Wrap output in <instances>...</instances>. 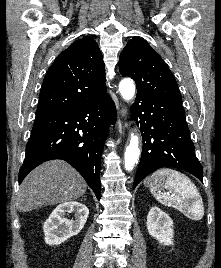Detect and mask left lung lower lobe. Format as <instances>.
I'll use <instances>...</instances> for the list:
<instances>
[{"mask_svg": "<svg viewBox=\"0 0 221 268\" xmlns=\"http://www.w3.org/2000/svg\"><path fill=\"white\" fill-rule=\"evenodd\" d=\"M131 113L132 120L140 126L143 139L133 188L161 167L188 171L203 182V168L194 154L181 102L137 94Z\"/></svg>", "mask_w": 221, "mask_h": 268, "instance_id": "left-lung-lower-lobe-1", "label": "left lung lower lobe"}]
</instances>
